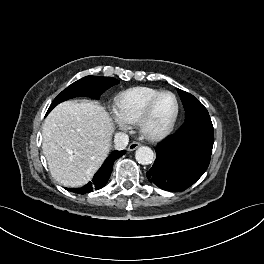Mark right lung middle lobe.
Listing matches in <instances>:
<instances>
[{
	"label": "right lung middle lobe",
	"instance_id": "dd1d6c3e",
	"mask_svg": "<svg viewBox=\"0 0 264 264\" xmlns=\"http://www.w3.org/2000/svg\"><path fill=\"white\" fill-rule=\"evenodd\" d=\"M119 81L111 77L86 76L74 82L63 90L50 105L47 114L59 103L78 96H88L98 99L99 96Z\"/></svg>",
	"mask_w": 264,
	"mask_h": 264
}]
</instances>
